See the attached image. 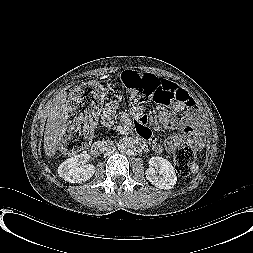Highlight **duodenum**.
<instances>
[{
	"label": "duodenum",
	"mask_w": 253,
	"mask_h": 253,
	"mask_svg": "<svg viewBox=\"0 0 253 253\" xmlns=\"http://www.w3.org/2000/svg\"><path fill=\"white\" fill-rule=\"evenodd\" d=\"M124 142V141H122ZM105 148V145L101 144V143H94L91 145V148H90V152L93 154V155H99Z\"/></svg>",
	"instance_id": "obj_1"
}]
</instances>
